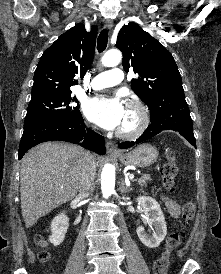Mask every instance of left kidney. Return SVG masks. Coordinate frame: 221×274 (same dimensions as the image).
I'll use <instances>...</instances> for the list:
<instances>
[{
	"mask_svg": "<svg viewBox=\"0 0 221 274\" xmlns=\"http://www.w3.org/2000/svg\"><path fill=\"white\" fill-rule=\"evenodd\" d=\"M137 202L145 214L143 223L153 228V234L150 236L145 232L143 226H139L136 230L137 235L145 246L151 249L156 248L167 234V226L161 207L155 199L148 196H139Z\"/></svg>",
	"mask_w": 221,
	"mask_h": 274,
	"instance_id": "1",
	"label": "left kidney"
}]
</instances>
